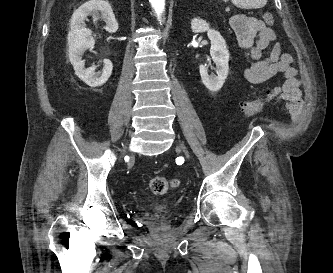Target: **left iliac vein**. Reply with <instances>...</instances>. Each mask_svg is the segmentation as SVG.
<instances>
[{"label":"left iliac vein","mask_w":333,"mask_h":273,"mask_svg":"<svg viewBox=\"0 0 333 273\" xmlns=\"http://www.w3.org/2000/svg\"><path fill=\"white\" fill-rule=\"evenodd\" d=\"M179 148H181V150L183 151L184 155L190 159V154H189V151L187 150V148L185 147V145L181 142H179Z\"/></svg>","instance_id":"obj_1"}]
</instances>
